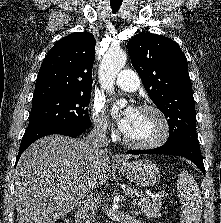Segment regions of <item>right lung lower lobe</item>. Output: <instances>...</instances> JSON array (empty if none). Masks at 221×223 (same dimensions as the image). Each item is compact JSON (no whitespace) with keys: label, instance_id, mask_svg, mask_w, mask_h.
<instances>
[{"label":"right lung lower lobe","instance_id":"obj_1","mask_svg":"<svg viewBox=\"0 0 221 223\" xmlns=\"http://www.w3.org/2000/svg\"><path fill=\"white\" fill-rule=\"evenodd\" d=\"M86 129L87 128L72 127L64 124H52L32 130H26L20 144L19 153L15 165L17 164L23 151L37 139L51 134H61L70 137H77L82 134Z\"/></svg>","mask_w":221,"mask_h":223}]
</instances>
